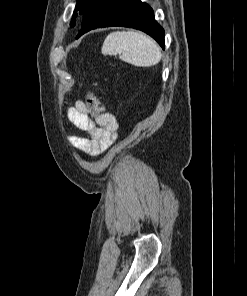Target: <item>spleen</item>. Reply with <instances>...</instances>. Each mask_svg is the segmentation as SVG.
<instances>
[{
	"instance_id": "obj_1",
	"label": "spleen",
	"mask_w": 247,
	"mask_h": 296,
	"mask_svg": "<svg viewBox=\"0 0 247 296\" xmlns=\"http://www.w3.org/2000/svg\"><path fill=\"white\" fill-rule=\"evenodd\" d=\"M103 55H119V58L137 67H150L162 57L159 45L150 37L136 31L110 33L101 48Z\"/></svg>"
}]
</instances>
